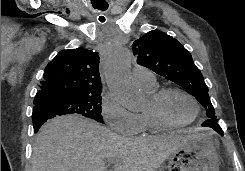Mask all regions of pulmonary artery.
Here are the masks:
<instances>
[{"instance_id": "e3ab8cb5", "label": "pulmonary artery", "mask_w": 245, "mask_h": 171, "mask_svg": "<svg viewBox=\"0 0 245 171\" xmlns=\"http://www.w3.org/2000/svg\"><path fill=\"white\" fill-rule=\"evenodd\" d=\"M134 81L141 87H152L156 84L154 73L148 68L136 66L132 72Z\"/></svg>"}]
</instances>
